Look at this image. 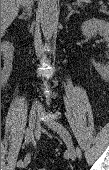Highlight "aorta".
Segmentation results:
<instances>
[{
  "instance_id": "1",
  "label": "aorta",
  "mask_w": 109,
  "mask_h": 170,
  "mask_svg": "<svg viewBox=\"0 0 109 170\" xmlns=\"http://www.w3.org/2000/svg\"><path fill=\"white\" fill-rule=\"evenodd\" d=\"M58 0H43L41 5L40 23L44 38L48 41L58 22Z\"/></svg>"
}]
</instances>
